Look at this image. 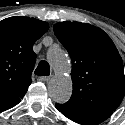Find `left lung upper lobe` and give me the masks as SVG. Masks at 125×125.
<instances>
[{
    "instance_id": "1",
    "label": "left lung upper lobe",
    "mask_w": 125,
    "mask_h": 125,
    "mask_svg": "<svg viewBox=\"0 0 125 125\" xmlns=\"http://www.w3.org/2000/svg\"><path fill=\"white\" fill-rule=\"evenodd\" d=\"M53 30L72 60L73 92L61 107L71 112L115 111L125 96V76L110 37L81 22H60Z\"/></svg>"
}]
</instances>
